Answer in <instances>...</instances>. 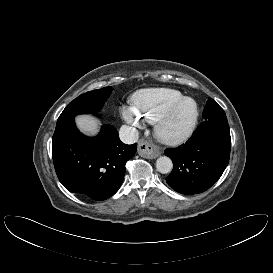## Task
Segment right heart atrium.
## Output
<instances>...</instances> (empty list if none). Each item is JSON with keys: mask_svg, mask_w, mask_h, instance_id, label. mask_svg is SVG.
<instances>
[{"mask_svg": "<svg viewBox=\"0 0 273 273\" xmlns=\"http://www.w3.org/2000/svg\"><path fill=\"white\" fill-rule=\"evenodd\" d=\"M120 113L122 118L133 128L138 129L142 128L144 125V120L135 110L133 106H122L120 108Z\"/></svg>", "mask_w": 273, "mask_h": 273, "instance_id": "d8ad5b80", "label": "right heart atrium"}]
</instances>
